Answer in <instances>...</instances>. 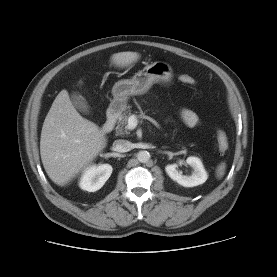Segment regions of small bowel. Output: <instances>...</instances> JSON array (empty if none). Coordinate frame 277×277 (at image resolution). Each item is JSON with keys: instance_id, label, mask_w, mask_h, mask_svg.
Masks as SVG:
<instances>
[{"instance_id": "obj_1", "label": "small bowel", "mask_w": 277, "mask_h": 277, "mask_svg": "<svg viewBox=\"0 0 277 277\" xmlns=\"http://www.w3.org/2000/svg\"><path fill=\"white\" fill-rule=\"evenodd\" d=\"M180 117L184 124L188 127H195L200 122L198 115L194 111L187 108H183L180 111Z\"/></svg>"}]
</instances>
